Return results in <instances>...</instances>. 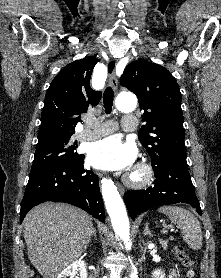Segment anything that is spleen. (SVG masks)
I'll use <instances>...</instances> for the list:
<instances>
[{
    "mask_svg": "<svg viewBox=\"0 0 221 278\" xmlns=\"http://www.w3.org/2000/svg\"><path fill=\"white\" fill-rule=\"evenodd\" d=\"M158 212L167 215L180 227L182 238L191 249L199 250L202 247L200 223L193 213L178 206H162ZM161 232L165 234L166 230L163 229Z\"/></svg>",
    "mask_w": 221,
    "mask_h": 278,
    "instance_id": "1",
    "label": "spleen"
}]
</instances>
